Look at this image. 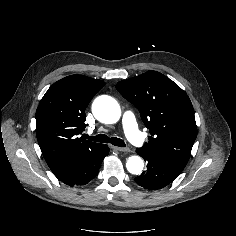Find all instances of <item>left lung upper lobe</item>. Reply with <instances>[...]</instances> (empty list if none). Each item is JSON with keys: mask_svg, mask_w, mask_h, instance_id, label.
I'll return each mask as SVG.
<instances>
[{"mask_svg": "<svg viewBox=\"0 0 236 236\" xmlns=\"http://www.w3.org/2000/svg\"><path fill=\"white\" fill-rule=\"evenodd\" d=\"M119 93L139 110L152 136L143 149L184 169L197 137L194 110L187 94L165 75L148 71L122 80Z\"/></svg>", "mask_w": 236, "mask_h": 236, "instance_id": "obj_1", "label": "left lung upper lobe"}]
</instances>
